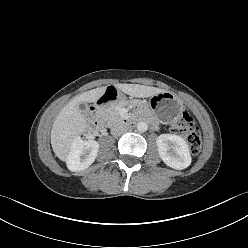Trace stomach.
Here are the masks:
<instances>
[{"label":"stomach","instance_id":"1","mask_svg":"<svg viewBox=\"0 0 248 248\" xmlns=\"http://www.w3.org/2000/svg\"><path fill=\"white\" fill-rule=\"evenodd\" d=\"M150 112L164 123L172 122L182 111V101L171 92L153 95L148 103Z\"/></svg>","mask_w":248,"mask_h":248}]
</instances>
